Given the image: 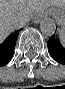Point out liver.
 Here are the masks:
<instances>
[{"mask_svg": "<svg viewBox=\"0 0 65 89\" xmlns=\"http://www.w3.org/2000/svg\"><path fill=\"white\" fill-rule=\"evenodd\" d=\"M59 0H0V37L3 40L17 28L21 18L31 19L40 11L63 7Z\"/></svg>", "mask_w": 65, "mask_h": 89, "instance_id": "6515ba94", "label": "liver"}]
</instances>
